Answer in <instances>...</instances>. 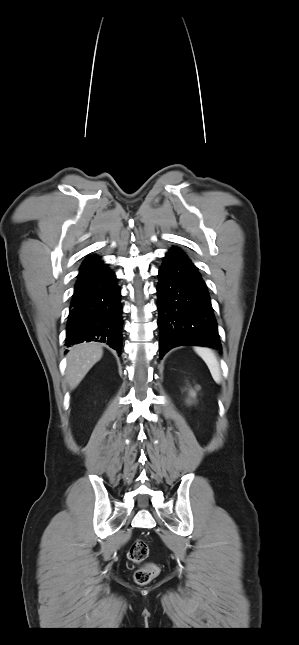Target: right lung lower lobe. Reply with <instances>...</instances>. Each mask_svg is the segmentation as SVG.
Listing matches in <instances>:
<instances>
[{
  "label": "right lung lower lobe",
  "instance_id": "98d812e1",
  "mask_svg": "<svg viewBox=\"0 0 299 645\" xmlns=\"http://www.w3.org/2000/svg\"><path fill=\"white\" fill-rule=\"evenodd\" d=\"M121 291L114 272L100 258L79 269L67 322L66 346L106 343L121 355Z\"/></svg>",
  "mask_w": 299,
  "mask_h": 645
}]
</instances>
